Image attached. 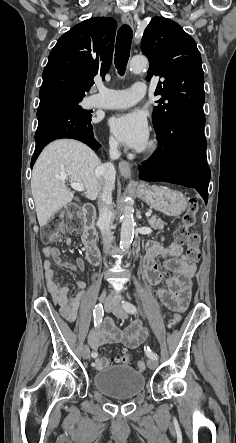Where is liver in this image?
Segmentation results:
<instances>
[{"instance_id": "liver-1", "label": "liver", "mask_w": 236, "mask_h": 443, "mask_svg": "<svg viewBox=\"0 0 236 443\" xmlns=\"http://www.w3.org/2000/svg\"><path fill=\"white\" fill-rule=\"evenodd\" d=\"M101 161L85 144L60 139L50 143L38 157L31 179V191L40 227L47 224L62 207L74 197L61 178L82 184L85 197L95 200L101 190L97 173Z\"/></svg>"}]
</instances>
